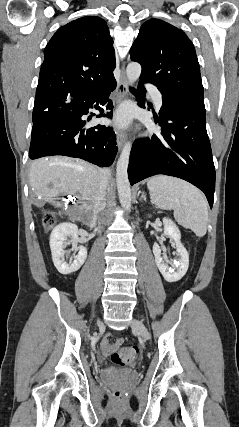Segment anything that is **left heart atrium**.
<instances>
[{
    "label": "left heart atrium",
    "instance_id": "left-heart-atrium-1",
    "mask_svg": "<svg viewBox=\"0 0 239 427\" xmlns=\"http://www.w3.org/2000/svg\"><path fill=\"white\" fill-rule=\"evenodd\" d=\"M130 120V111L128 108H121L115 116V123L119 126H126Z\"/></svg>",
    "mask_w": 239,
    "mask_h": 427
}]
</instances>
